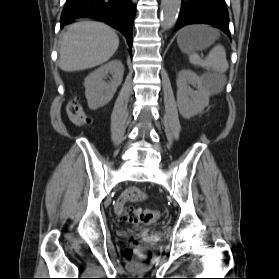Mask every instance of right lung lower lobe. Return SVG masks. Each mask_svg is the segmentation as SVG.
<instances>
[{"mask_svg": "<svg viewBox=\"0 0 279 279\" xmlns=\"http://www.w3.org/2000/svg\"><path fill=\"white\" fill-rule=\"evenodd\" d=\"M136 5L132 0H67L61 26L76 18H96L118 29L132 47V28Z\"/></svg>", "mask_w": 279, "mask_h": 279, "instance_id": "right-lung-lower-lobe-1", "label": "right lung lower lobe"}]
</instances>
